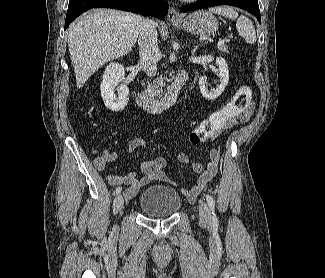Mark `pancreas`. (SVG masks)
Instances as JSON below:
<instances>
[{
    "instance_id": "cf45deb5",
    "label": "pancreas",
    "mask_w": 325,
    "mask_h": 278,
    "mask_svg": "<svg viewBox=\"0 0 325 278\" xmlns=\"http://www.w3.org/2000/svg\"><path fill=\"white\" fill-rule=\"evenodd\" d=\"M218 49L222 53L228 54V47L226 45L218 46ZM165 79L162 77L157 78L153 84H148L146 93L150 96H160L162 93V89L165 86Z\"/></svg>"
}]
</instances>
